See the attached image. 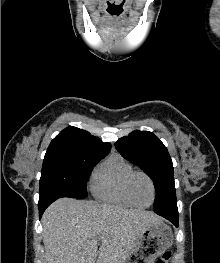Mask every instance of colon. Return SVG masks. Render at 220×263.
Listing matches in <instances>:
<instances>
[{"mask_svg": "<svg viewBox=\"0 0 220 263\" xmlns=\"http://www.w3.org/2000/svg\"><path fill=\"white\" fill-rule=\"evenodd\" d=\"M170 259H171V252L170 251H166L163 254V256L156 261V263H169Z\"/></svg>", "mask_w": 220, "mask_h": 263, "instance_id": "obj_1", "label": "colon"}]
</instances>
